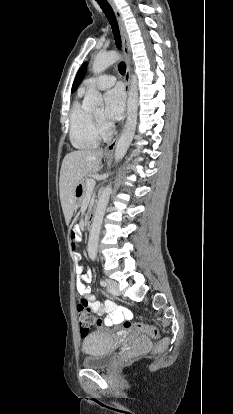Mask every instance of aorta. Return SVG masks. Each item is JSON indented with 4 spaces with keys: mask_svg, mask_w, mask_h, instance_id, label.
Masks as SVG:
<instances>
[{
    "mask_svg": "<svg viewBox=\"0 0 233 414\" xmlns=\"http://www.w3.org/2000/svg\"><path fill=\"white\" fill-rule=\"evenodd\" d=\"M121 55L115 51L107 53H99L94 59L92 71L94 74H99L105 71L109 66L117 62ZM84 105L90 108H99L103 106L102 95L98 90H90L83 101ZM137 111H138V86L135 75L131 77V83L127 100V119L123 132L117 142L115 149V161L119 162L126 154L135 133L137 125ZM112 192L111 182L107 185L97 204L94 213L92 228L88 240V255L94 260L97 255V246L99 241L100 229L105 214L106 207L109 202L110 194Z\"/></svg>",
    "mask_w": 233,
    "mask_h": 414,
    "instance_id": "1",
    "label": "aorta"
}]
</instances>
